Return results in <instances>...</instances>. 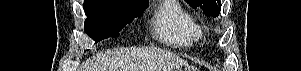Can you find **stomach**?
<instances>
[{"label": "stomach", "mask_w": 301, "mask_h": 71, "mask_svg": "<svg viewBox=\"0 0 301 71\" xmlns=\"http://www.w3.org/2000/svg\"><path fill=\"white\" fill-rule=\"evenodd\" d=\"M177 71H194L190 66H185V68H179Z\"/></svg>", "instance_id": "stomach-1"}]
</instances>
